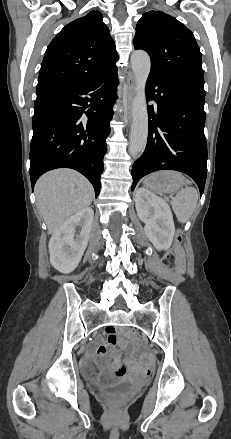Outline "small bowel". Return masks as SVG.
Returning <instances> with one entry per match:
<instances>
[{"label":"small bowel","mask_w":231,"mask_h":439,"mask_svg":"<svg viewBox=\"0 0 231 439\" xmlns=\"http://www.w3.org/2000/svg\"><path fill=\"white\" fill-rule=\"evenodd\" d=\"M108 343L110 345H115L117 343V337L116 335L113 333L112 330L109 331V336H108ZM106 351H107V347L105 345H100L96 348L95 352L93 353V357L97 360H99L100 362H102L103 364H105V355H106ZM118 370L119 372H125V368L122 365L121 359H120V354L118 352L114 353V362H113V366L111 368H105V371L107 373H114L115 370ZM148 368L146 366H137L136 367V372L137 373H147Z\"/></svg>","instance_id":"obj_1"}]
</instances>
